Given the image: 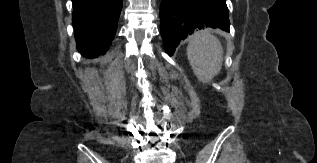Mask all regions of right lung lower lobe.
<instances>
[{
    "mask_svg": "<svg viewBox=\"0 0 317 163\" xmlns=\"http://www.w3.org/2000/svg\"><path fill=\"white\" fill-rule=\"evenodd\" d=\"M77 47L88 58L104 54L115 35L123 0H72Z\"/></svg>",
    "mask_w": 317,
    "mask_h": 163,
    "instance_id": "obj_1",
    "label": "right lung lower lobe"
}]
</instances>
